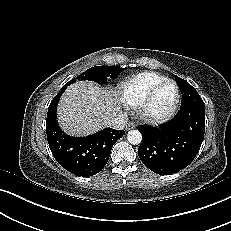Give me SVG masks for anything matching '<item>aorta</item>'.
I'll list each match as a JSON object with an SVG mask.
<instances>
[{
	"mask_svg": "<svg viewBox=\"0 0 231 231\" xmlns=\"http://www.w3.org/2000/svg\"><path fill=\"white\" fill-rule=\"evenodd\" d=\"M127 140L132 145H138L142 142V134L138 130H131L127 134Z\"/></svg>",
	"mask_w": 231,
	"mask_h": 231,
	"instance_id": "aorta-1",
	"label": "aorta"
}]
</instances>
